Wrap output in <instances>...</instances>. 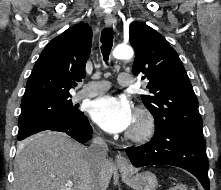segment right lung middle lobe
Here are the masks:
<instances>
[{
  "instance_id": "1",
  "label": "right lung middle lobe",
  "mask_w": 221,
  "mask_h": 190,
  "mask_svg": "<svg viewBox=\"0 0 221 190\" xmlns=\"http://www.w3.org/2000/svg\"><path fill=\"white\" fill-rule=\"evenodd\" d=\"M69 98L55 99L22 106L18 119V136L53 125H69L83 116Z\"/></svg>"
}]
</instances>
